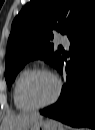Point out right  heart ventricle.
I'll list each match as a JSON object with an SVG mask.
<instances>
[{
  "instance_id": "e07e8e85",
  "label": "right heart ventricle",
  "mask_w": 95,
  "mask_h": 130,
  "mask_svg": "<svg viewBox=\"0 0 95 130\" xmlns=\"http://www.w3.org/2000/svg\"><path fill=\"white\" fill-rule=\"evenodd\" d=\"M30 70L29 69H22L16 80H15V83H14V86H13V91H12V99H13V103L15 105V107L19 110V111H22V112H26V111H29L31 110L29 107H27L21 100L20 98V86H21V83L23 81V79L25 78V76L28 74Z\"/></svg>"
}]
</instances>
